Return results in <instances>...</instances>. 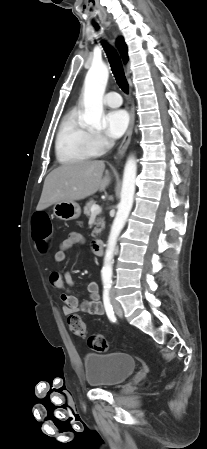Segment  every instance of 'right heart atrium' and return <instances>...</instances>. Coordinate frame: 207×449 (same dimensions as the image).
I'll return each mask as SVG.
<instances>
[{
  "mask_svg": "<svg viewBox=\"0 0 207 449\" xmlns=\"http://www.w3.org/2000/svg\"><path fill=\"white\" fill-rule=\"evenodd\" d=\"M90 139L96 154L105 152L111 146V142L99 133H91Z\"/></svg>",
  "mask_w": 207,
  "mask_h": 449,
  "instance_id": "d8ad5b80",
  "label": "right heart atrium"
}]
</instances>
